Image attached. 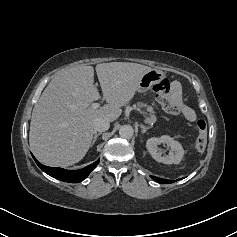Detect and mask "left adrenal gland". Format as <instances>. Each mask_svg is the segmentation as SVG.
Instances as JSON below:
<instances>
[{
  "label": "left adrenal gland",
  "instance_id": "1",
  "mask_svg": "<svg viewBox=\"0 0 237 237\" xmlns=\"http://www.w3.org/2000/svg\"><path fill=\"white\" fill-rule=\"evenodd\" d=\"M141 129H142V133H145L150 127H145L144 125H140Z\"/></svg>",
  "mask_w": 237,
  "mask_h": 237
}]
</instances>
